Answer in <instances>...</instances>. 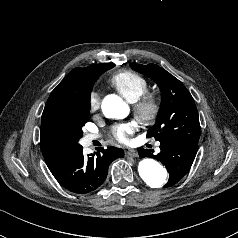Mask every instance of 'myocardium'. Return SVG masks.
<instances>
[{
	"instance_id": "myocardium-1",
	"label": "myocardium",
	"mask_w": 238,
	"mask_h": 238,
	"mask_svg": "<svg viewBox=\"0 0 238 238\" xmlns=\"http://www.w3.org/2000/svg\"><path fill=\"white\" fill-rule=\"evenodd\" d=\"M134 117L141 125H150L160 112V100L156 93L146 91L133 102Z\"/></svg>"
}]
</instances>
